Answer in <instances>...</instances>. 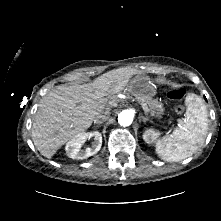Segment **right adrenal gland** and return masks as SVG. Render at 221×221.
Wrapping results in <instances>:
<instances>
[{"label":"right adrenal gland","mask_w":221,"mask_h":221,"mask_svg":"<svg viewBox=\"0 0 221 221\" xmlns=\"http://www.w3.org/2000/svg\"><path fill=\"white\" fill-rule=\"evenodd\" d=\"M95 127H96V128H99V127H100V125H96Z\"/></svg>","instance_id":"2a0ac1e0"}]
</instances>
